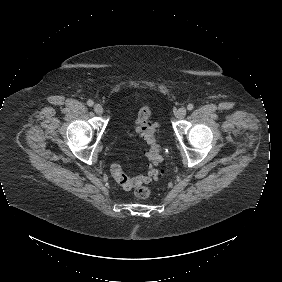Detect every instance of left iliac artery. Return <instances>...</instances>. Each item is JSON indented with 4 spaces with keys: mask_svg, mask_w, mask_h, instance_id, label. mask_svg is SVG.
Here are the masks:
<instances>
[{
    "mask_svg": "<svg viewBox=\"0 0 282 282\" xmlns=\"http://www.w3.org/2000/svg\"><path fill=\"white\" fill-rule=\"evenodd\" d=\"M193 107H194V105L190 103V104H188L187 109H188V110H192Z\"/></svg>",
    "mask_w": 282,
    "mask_h": 282,
    "instance_id": "left-iliac-artery-1",
    "label": "left iliac artery"
}]
</instances>
